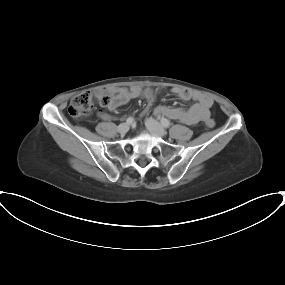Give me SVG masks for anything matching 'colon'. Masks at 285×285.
I'll return each mask as SVG.
<instances>
[{
	"instance_id": "5ec220e1",
	"label": "colon",
	"mask_w": 285,
	"mask_h": 285,
	"mask_svg": "<svg viewBox=\"0 0 285 285\" xmlns=\"http://www.w3.org/2000/svg\"><path fill=\"white\" fill-rule=\"evenodd\" d=\"M111 101V96L107 92H101L100 94H95L90 91L83 92L75 96L69 106V114L74 119H81L88 116L94 109L96 104L101 106L108 105ZM216 122L212 118L205 120V125L209 128H213Z\"/></svg>"
}]
</instances>
